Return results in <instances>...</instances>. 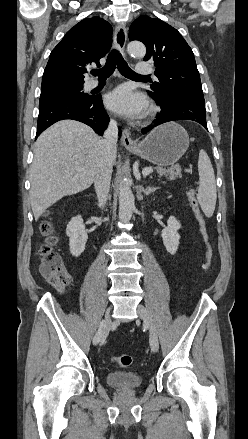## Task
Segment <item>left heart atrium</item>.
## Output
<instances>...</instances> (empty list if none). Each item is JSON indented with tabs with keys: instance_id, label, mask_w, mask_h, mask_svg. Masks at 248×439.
I'll use <instances>...</instances> for the list:
<instances>
[{
	"instance_id": "left-heart-atrium-1",
	"label": "left heart atrium",
	"mask_w": 248,
	"mask_h": 439,
	"mask_svg": "<svg viewBox=\"0 0 248 439\" xmlns=\"http://www.w3.org/2000/svg\"><path fill=\"white\" fill-rule=\"evenodd\" d=\"M105 104L112 112L129 119L142 116L147 108L145 98L127 85L110 92L105 98Z\"/></svg>"
}]
</instances>
